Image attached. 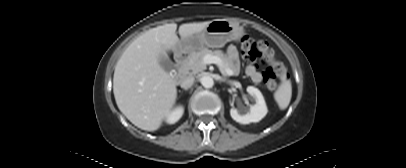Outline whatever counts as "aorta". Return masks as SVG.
<instances>
[{"label":"aorta","instance_id":"aorta-1","mask_svg":"<svg viewBox=\"0 0 406 168\" xmlns=\"http://www.w3.org/2000/svg\"><path fill=\"white\" fill-rule=\"evenodd\" d=\"M201 84L203 85V87L205 88H211L214 85V81L210 76H203L201 78Z\"/></svg>","mask_w":406,"mask_h":168}]
</instances>
